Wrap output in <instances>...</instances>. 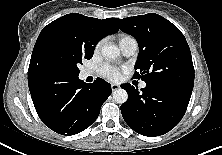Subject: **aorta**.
Segmentation results:
<instances>
[{"mask_svg":"<svg viewBox=\"0 0 222 155\" xmlns=\"http://www.w3.org/2000/svg\"><path fill=\"white\" fill-rule=\"evenodd\" d=\"M102 55L106 59H115L120 55V50L116 46H104L101 50ZM113 99L116 103H125L128 99V94L124 89H117L113 92Z\"/></svg>","mask_w":222,"mask_h":155,"instance_id":"obj_1","label":"aorta"}]
</instances>
